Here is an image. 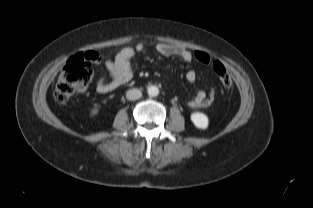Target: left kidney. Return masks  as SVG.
Wrapping results in <instances>:
<instances>
[{"label":"left kidney","mask_w":313,"mask_h":208,"mask_svg":"<svg viewBox=\"0 0 313 208\" xmlns=\"http://www.w3.org/2000/svg\"><path fill=\"white\" fill-rule=\"evenodd\" d=\"M191 121L193 124L200 129H206L208 127V117L200 112H195L191 114Z\"/></svg>","instance_id":"1"}]
</instances>
